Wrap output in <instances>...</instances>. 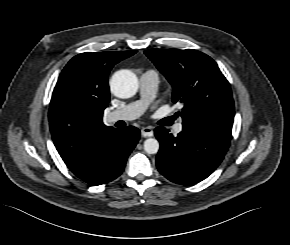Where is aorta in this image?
<instances>
[{
    "label": "aorta",
    "mask_w": 290,
    "mask_h": 245,
    "mask_svg": "<svg viewBox=\"0 0 290 245\" xmlns=\"http://www.w3.org/2000/svg\"><path fill=\"white\" fill-rule=\"evenodd\" d=\"M113 94L119 98L132 97L138 89V79L129 70H120L114 73L110 81ZM144 150L148 154H156L159 151V142L155 138H148L144 141Z\"/></svg>",
    "instance_id": "aorta-1"
}]
</instances>
